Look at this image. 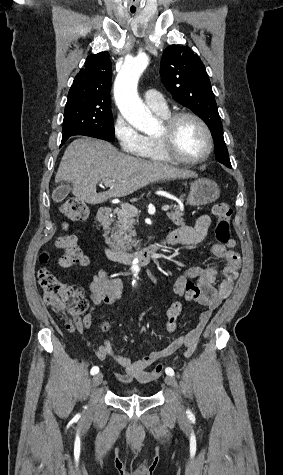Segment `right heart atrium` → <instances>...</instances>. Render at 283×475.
Listing matches in <instances>:
<instances>
[{"label":"right heart atrium","mask_w":283,"mask_h":475,"mask_svg":"<svg viewBox=\"0 0 283 475\" xmlns=\"http://www.w3.org/2000/svg\"><path fill=\"white\" fill-rule=\"evenodd\" d=\"M112 132L117 139L121 155H140V158L146 155L147 138L120 113L114 118Z\"/></svg>","instance_id":"obj_1"}]
</instances>
